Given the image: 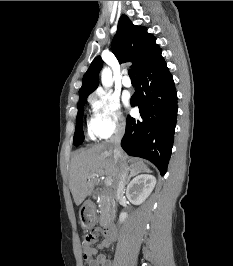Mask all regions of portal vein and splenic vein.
Here are the masks:
<instances>
[{
    "mask_svg": "<svg viewBox=\"0 0 233 266\" xmlns=\"http://www.w3.org/2000/svg\"><path fill=\"white\" fill-rule=\"evenodd\" d=\"M98 177L99 175L98 174H91L90 176H89V178H92V177ZM105 184L107 185V186H111L112 185V179H110V178H105Z\"/></svg>",
    "mask_w": 233,
    "mask_h": 266,
    "instance_id": "obj_1",
    "label": "portal vein and splenic vein"
}]
</instances>
